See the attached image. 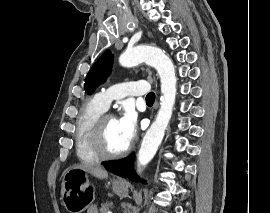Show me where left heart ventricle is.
<instances>
[{"label": "left heart ventricle", "instance_id": "obj_1", "mask_svg": "<svg viewBox=\"0 0 270 213\" xmlns=\"http://www.w3.org/2000/svg\"><path fill=\"white\" fill-rule=\"evenodd\" d=\"M104 143L106 149L111 153H116L124 150L127 145L121 134L118 120L110 117L105 123Z\"/></svg>", "mask_w": 270, "mask_h": 213}]
</instances>
